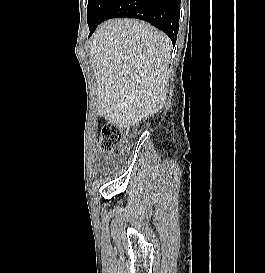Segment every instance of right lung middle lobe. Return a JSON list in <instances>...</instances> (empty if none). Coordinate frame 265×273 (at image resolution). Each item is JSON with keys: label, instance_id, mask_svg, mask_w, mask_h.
Returning a JSON list of instances; mask_svg holds the SVG:
<instances>
[{"label": "right lung middle lobe", "instance_id": "1", "mask_svg": "<svg viewBox=\"0 0 265 273\" xmlns=\"http://www.w3.org/2000/svg\"><path fill=\"white\" fill-rule=\"evenodd\" d=\"M113 0H88L87 22L89 29L96 28Z\"/></svg>", "mask_w": 265, "mask_h": 273}]
</instances>
